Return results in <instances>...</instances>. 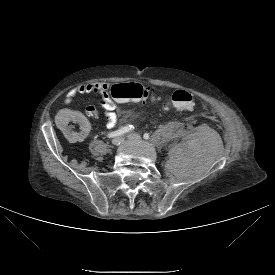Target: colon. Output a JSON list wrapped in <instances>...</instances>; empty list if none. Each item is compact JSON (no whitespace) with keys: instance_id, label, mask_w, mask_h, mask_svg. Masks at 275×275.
<instances>
[{"instance_id":"colon-1","label":"colon","mask_w":275,"mask_h":275,"mask_svg":"<svg viewBox=\"0 0 275 275\" xmlns=\"http://www.w3.org/2000/svg\"><path fill=\"white\" fill-rule=\"evenodd\" d=\"M112 97L120 101L141 102L154 98V95L140 84H120L111 89ZM167 101L180 110H190L194 105L192 95L185 90H176L167 97Z\"/></svg>"}]
</instances>
